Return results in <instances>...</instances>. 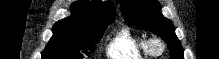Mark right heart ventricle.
<instances>
[{
    "mask_svg": "<svg viewBox=\"0 0 219 59\" xmlns=\"http://www.w3.org/2000/svg\"><path fill=\"white\" fill-rule=\"evenodd\" d=\"M110 59H149L147 40L135 34L129 27H121L111 38L106 48Z\"/></svg>",
    "mask_w": 219,
    "mask_h": 59,
    "instance_id": "e07e8e85",
    "label": "right heart ventricle"
}]
</instances>
